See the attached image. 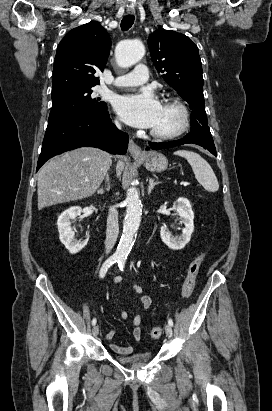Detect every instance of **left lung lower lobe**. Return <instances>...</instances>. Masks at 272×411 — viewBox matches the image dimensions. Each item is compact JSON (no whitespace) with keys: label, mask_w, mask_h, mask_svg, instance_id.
<instances>
[{"label":"left lung lower lobe","mask_w":272,"mask_h":411,"mask_svg":"<svg viewBox=\"0 0 272 411\" xmlns=\"http://www.w3.org/2000/svg\"><path fill=\"white\" fill-rule=\"evenodd\" d=\"M148 143H149L150 148L153 150H160V149L170 148L173 146L183 145L187 143H193V144L202 146L203 148L210 151L213 155L217 156L216 148H215L210 130L191 131L184 138L177 140V141L163 142V143H156V142H148Z\"/></svg>","instance_id":"0a47b994"}]
</instances>
